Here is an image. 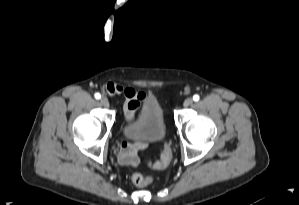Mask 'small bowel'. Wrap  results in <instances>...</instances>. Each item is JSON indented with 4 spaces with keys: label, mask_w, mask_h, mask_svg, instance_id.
Here are the masks:
<instances>
[{
    "label": "small bowel",
    "mask_w": 299,
    "mask_h": 205,
    "mask_svg": "<svg viewBox=\"0 0 299 205\" xmlns=\"http://www.w3.org/2000/svg\"><path fill=\"white\" fill-rule=\"evenodd\" d=\"M106 91L109 95L123 94L125 97L124 102V114L127 120L134 117L136 113L141 109L143 101L148 97L146 92H138L133 88H124L116 83H109L106 86ZM145 146V143L139 142L136 144H130L127 142H121L119 145L118 158L122 164L136 165L138 163L137 153Z\"/></svg>",
    "instance_id": "obj_1"
}]
</instances>
